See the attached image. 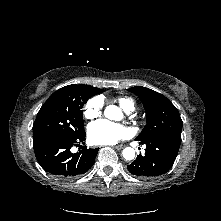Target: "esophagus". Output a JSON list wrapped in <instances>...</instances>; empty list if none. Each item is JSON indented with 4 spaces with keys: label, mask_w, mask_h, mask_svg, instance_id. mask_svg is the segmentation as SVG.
Instances as JSON below:
<instances>
[{
    "label": "esophagus",
    "mask_w": 221,
    "mask_h": 221,
    "mask_svg": "<svg viewBox=\"0 0 221 221\" xmlns=\"http://www.w3.org/2000/svg\"><path fill=\"white\" fill-rule=\"evenodd\" d=\"M125 147V145H117V146H113L114 149H117V150H121Z\"/></svg>",
    "instance_id": "obj_1"
}]
</instances>
